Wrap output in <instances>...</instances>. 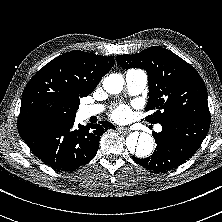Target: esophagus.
Here are the masks:
<instances>
[{"label": "esophagus", "mask_w": 222, "mask_h": 222, "mask_svg": "<svg viewBox=\"0 0 222 222\" xmlns=\"http://www.w3.org/2000/svg\"><path fill=\"white\" fill-rule=\"evenodd\" d=\"M117 130L123 134H128L130 132V130L125 127H117Z\"/></svg>", "instance_id": "1"}]
</instances>
